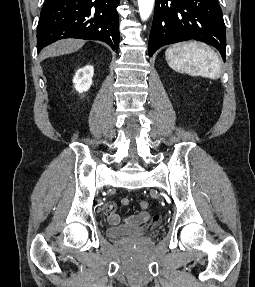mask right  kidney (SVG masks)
Masks as SVG:
<instances>
[{"mask_svg":"<svg viewBox=\"0 0 255 287\" xmlns=\"http://www.w3.org/2000/svg\"><path fill=\"white\" fill-rule=\"evenodd\" d=\"M93 74V66H84V68H79L74 76V88H76L78 92H87L92 84Z\"/></svg>","mask_w":255,"mask_h":287,"instance_id":"right-kidney-1","label":"right kidney"}]
</instances>
